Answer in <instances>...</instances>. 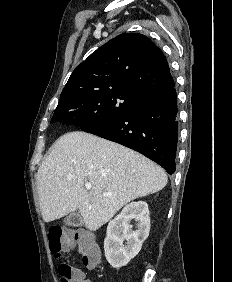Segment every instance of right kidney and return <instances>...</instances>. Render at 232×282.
I'll return each mask as SVG.
<instances>
[{
	"label": "right kidney",
	"instance_id": "ca27d5eb",
	"mask_svg": "<svg viewBox=\"0 0 232 282\" xmlns=\"http://www.w3.org/2000/svg\"><path fill=\"white\" fill-rule=\"evenodd\" d=\"M148 204L144 201L126 205L107 227L104 240L105 257L113 268L125 266L141 250L143 242L149 236L150 216ZM137 221V230L133 231L130 221ZM126 240V244L123 242Z\"/></svg>",
	"mask_w": 232,
	"mask_h": 282
}]
</instances>
